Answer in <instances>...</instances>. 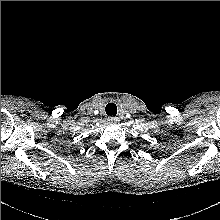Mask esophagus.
<instances>
[{"mask_svg": "<svg viewBox=\"0 0 220 220\" xmlns=\"http://www.w3.org/2000/svg\"><path fill=\"white\" fill-rule=\"evenodd\" d=\"M108 122L111 123V124L118 123L119 122V118H117V117H109L108 118Z\"/></svg>", "mask_w": 220, "mask_h": 220, "instance_id": "obj_1", "label": "esophagus"}]
</instances>
